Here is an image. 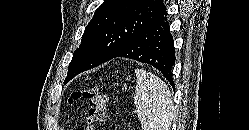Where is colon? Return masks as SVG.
<instances>
[{
	"instance_id": "colon-1",
	"label": "colon",
	"mask_w": 249,
	"mask_h": 130,
	"mask_svg": "<svg viewBox=\"0 0 249 130\" xmlns=\"http://www.w3.org/2000/svg\"><path fill=\"white\" fill-rule=\"evenodd\" d=\"M80 98L87 100L88 109L85 130H94L103 120L106 112L107 96L98 86H92L72 93L70 101Z\"/></svg>"
}]
</instances>
